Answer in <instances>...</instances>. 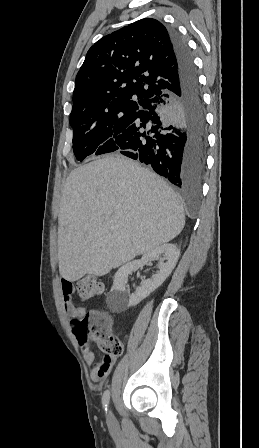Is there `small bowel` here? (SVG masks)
<instances>
[{
	"mask_svg": "<svg viewBox=\"0 0 259 448\" xmlns=\"http://www.w3.org/2000/svg\"><path fill=\"white\" fill-rule=\"evenodd\" d=\"M61 288L66 312L71 319V323L74 325L75 320L80 319L84 315L85 309L73 302L72 293L74 288L71 281L64 278L61 279ZM82 353L86 363L88 365H92L95 361V352L88 343L82 344ZM115 362L116 357L105 355L104 358L101 361L97 362L91 370V380L94 382H98L106 378L111 372V369L113 368Z\"/></svg>",
	"mask_w": 259,
	"mask_h": 448,
	"instance_id": "1",
	"label": "small bowel"
}]
</instances>
